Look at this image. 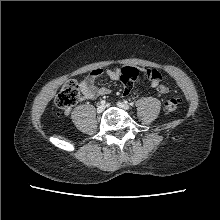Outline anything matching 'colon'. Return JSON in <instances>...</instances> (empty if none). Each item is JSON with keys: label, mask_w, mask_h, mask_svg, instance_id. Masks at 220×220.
Instances as JSON below:
<instances>
[{"label": "colon", "mask_w": 220, "mask_h": 220, "mask_svg": "<svg viewBox=\"0 0 220 220\" xmlns=\"http://www.w3.org/2000/svg\"><path fill=\"white\" fill-rule=\"evenodd\" d=\"M147 76L151 80H161V75L157 70L148 69ZM139 77V70L135 67H124L120 73V79L123 83V93L127 94L133 88ZM157 90L161 94L169 91V87L159 84ZM80 91L79 85L75 80H68L59 91L55 103L56 106L64 111L70 110L79 100ZM178 101L175 98L168 99L164 105V111L167 114L174 113L177 110Z\"/></svg>", "instance_id": "obj_1"}]
</instances>
